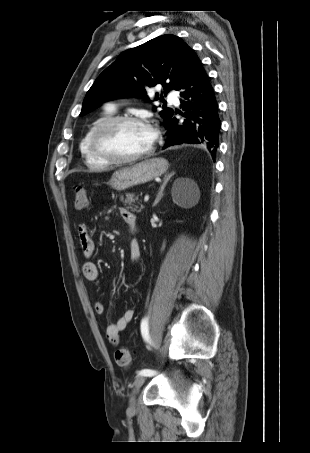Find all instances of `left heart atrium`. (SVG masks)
I'll use <instances>...</instances> for the list:
<instances>
[{"label":"left heart atrium","instance_id":"39dd6f15","mask_svg":"<svg viewBox=\"0 0 310 453\" xmlns=\"http://www.w3.org/2000/svg\"><path fill=\"white\" fill-rule=\"evenodd\" d=\"M146 130H147V136H148L150 142L153 143L156 138V135H157L155 129H153L150 126H147Z\"/></svg>","mask_w":310,"mask_h":453}]
</instances>
